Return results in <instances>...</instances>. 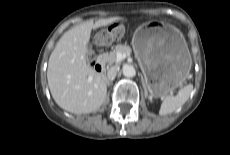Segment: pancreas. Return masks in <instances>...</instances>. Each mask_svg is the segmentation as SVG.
Here are the masks:
<instances>
[{
    "instance_id": "cf45deb5",
    "label": "pancreas",
    "mask_w": 230,
    "mask_h": 155,
    "mask_svg": "<svg viewBox=\"0 0 230 155\" xmlns=\"http://www.w3.org/2000/svg\"><path fill=\"white\" fill-rule=\"evenodd\" d=\"M117 53H124V54H130L131 48L127 45H116L115 48L111 52L103 53L99 56L100 61L109 66H112L113 64H119L117 62L116 55Z\"/></svg>"
}]
</instances>
